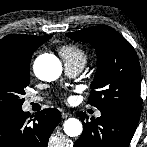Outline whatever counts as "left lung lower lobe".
Here are the masks:
<instances>
[{
    "label": "left lung lower lobe",
    "mask_w": 147,
    "mask_h": 147,
    "mask_svg": "<svg viewBox=\"0 0 147 147\" xmlns=\"http://www.w3.org/2000/svg\"><path fill=\"white\" fill-rule=\"evenodd\" d=\"M100 111L101 116L97 119L92 117L90 122H84V112L78 114L84 129L74 147H128L138 122L115 111Z\"/></svg>",
    "instance_id": "0a47b994"
}]
</instances>
